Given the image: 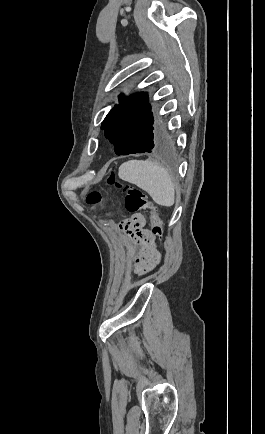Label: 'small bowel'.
<instances>
[{
	"label": "small bowel",
	"mask_w": 265,
	"mask_h": 434,
	"mask_svg": "<svg viewBox=\"0 0 265 434\" xmlns=\"http://www.w3.org/2000/svg\"><path fill=\"white\" fill-rule=\"evenodd\" d=\"M146 218L141 213H135L123 223L124 230L134 242H141L144 247L141 250V265L143 270H149L160 262L161 256L154 245V237L146 229Z\"/></svg>",
	"instance_id": "small-bowel-1"
}]
</instances>
